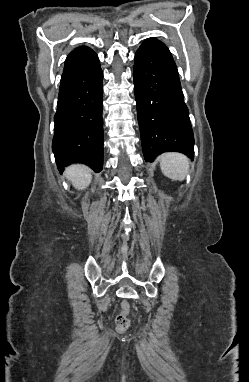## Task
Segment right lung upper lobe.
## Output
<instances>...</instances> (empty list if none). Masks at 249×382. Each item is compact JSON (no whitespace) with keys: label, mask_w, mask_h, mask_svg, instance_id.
Returning a JSON list of instances; mask_svg holds the SVG:
<instances>
[{"label":"right lung upper lobe","mask_w":249,"mask_h":382,"mask_svg":"<svg viewBox=\"0 0 249 382\" xmlns=\"http://www.w3.org/2000/svg\"><path fill=\"white\" fill-rule=\"evenodd\" d=\"M94 55L95 52L86 46L75 48L66 58L61 80L69 77L90 62Z\"/></svg>","instance_id":"right-lung-upper-lobe-1"}]
</instances>
